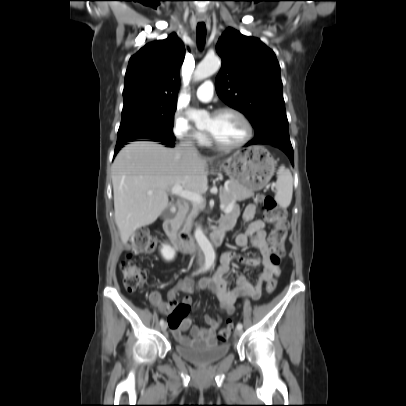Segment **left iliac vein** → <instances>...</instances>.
I'll use <instances>...</instances> for the list:
<instances>
[{
	"label": "left iliac vein",
	"instance_id": "1",
	"mask_svg": "<svg viewBox=\"0 0 406 406\" xmlns=\"http://www.w3.org/2000/svg\"><path fill=\"white\" fill-rule=\"evenodd\" d=\"M235 334L236 335H241L242 334V329H236Z\"/></svg>",
	"mask_w": 406,
	"mask_h": 406
}]
</instances>
